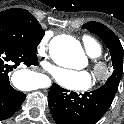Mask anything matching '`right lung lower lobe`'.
I'll list each match as a JSON object with an SVG mask.
<instances>
[{
	"label": "right lung lower lobe",
	"instance_id": "obj_1",
	"mask_svg": "<svg viewBox=\"0 0 124 124\" xmlns=\"http://www.w3.org/2000/svg\"><path fill=\"white\" fill-rule=\"evenodd\" d=\"M36 52L0 44V121L11 117L21 106L26 95L16 91L9 83V75L19 65H37Z\"/></svg>",
	"mask_w": 124,
	"mask_h": 124
}]
</instances>
